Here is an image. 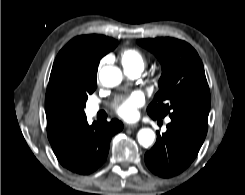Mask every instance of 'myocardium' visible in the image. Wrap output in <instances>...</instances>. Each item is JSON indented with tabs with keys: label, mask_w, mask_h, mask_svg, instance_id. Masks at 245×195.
Wrapping results in <instances>:
<instances>
[{
	"label": "myocardium",
	"mask_w": 245,
	"mask_h": 195,
	"mask_svg": "<svg viewBox=\"0 0 245 195\" xmlns=\"http://www.w3.org/2000/svg\"><path fill=\"white\" fill-rule=\"evenodd\" d=\"M159 78H160V77L158 76V77L156 78V81H158V80H159Z\"/></svg>",
	"instance_id": "1"
}]
</instances>
